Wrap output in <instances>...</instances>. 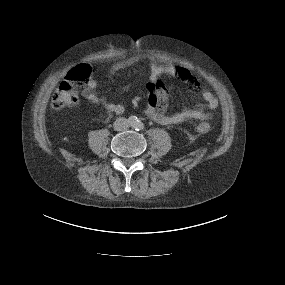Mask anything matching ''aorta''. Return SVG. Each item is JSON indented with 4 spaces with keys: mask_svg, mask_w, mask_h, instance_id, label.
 Returning a JSON list of instances; mask_svg holds the SVG:
<instances>
[{
    "mask_svg": "<svg viewBox=\"0 0 285 285\" xmlns=\"http://www.w3.org/2000/svg\"><path fill=\"white\" fill-rule=\"evenodd\" d=\"M129 123H130L131 126H134V127H137L138 125L141 124V122L138 120V118L134 117V116L130 117Z\"/></svg>",
    "mask_w": 285,
    "mask_h": 285,
    "instance_id": "762f6f07",
    "label": "aorta"
}]
</instances>
